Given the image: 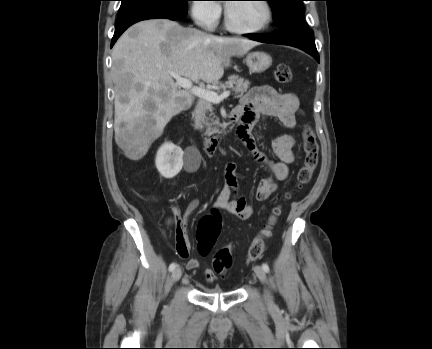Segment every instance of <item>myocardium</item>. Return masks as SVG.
Instances as JSON below:
<instances>
[{"label": "myocardium", "mask_w": 432, "mask_h": 349, "mask_svg": "<svg viewBox=\"0 0 432 349\" xmlns=\"http://www.w3.org/2000/svg\"><path fill=\"white\" fill-rule=\"evenodd\" d=\"M259 2H261L263 4V6L266 10V18L260 26H258L256 28H251V29H243V28H239V27L234 26L231 22L229 10H228V7L226 5L225 12H224L225 27L229 31L236 33V34H241V35H252V34H258V33L265 31L269 27V25L271 24V22L273 20V9H272V6L268 0H259Z\"/></svg>", "instance_id": "f54148a6"}]
</instances>
